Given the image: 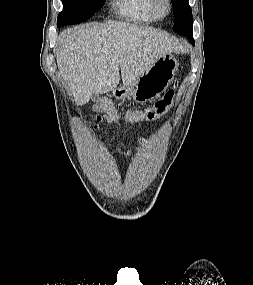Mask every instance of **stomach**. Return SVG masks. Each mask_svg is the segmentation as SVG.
I'll return each instance as SVG.
<instances>
[{
  "instance_id": "0dacf381",
  "label": "stomach",
  "mask_w": 253,
  "mask_h": 285,
  "mask_svg": "<svg viewBox=\"0 0 253 285\" xmlns=\"http://www.w3.org/2000/svg\"><path fill=\"white\" fill-rule=\"evenodd\" d=\"M177 69L176 58L172 54H166L136 81L115 88L113 95L116 99L131 98L137 103L152 101L170 86Z\"/></svg>"
}]
</instances>
